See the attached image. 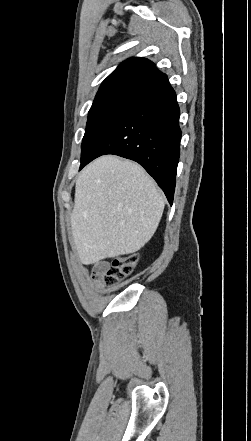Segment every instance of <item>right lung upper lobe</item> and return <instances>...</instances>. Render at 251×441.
<instances>
[{
	"mask_svg": "<svg viewBox=\"0 0 251 441\" xmlns=\"http://www.w3.org/2000/svg\"><path fill=\"white\" fill-rule=\"evenodd\" d=\"M167 76L145 58L134 57L122 62L101 84L94 102L108 99L138 100ZM93 102V103H94Z\"/></svg>",
	"mask_w": 251,
	"mask_h": 441,
	"instance_id": "cb5924a9",
	"label": "right lung upper lobe"
}]
</instances>
